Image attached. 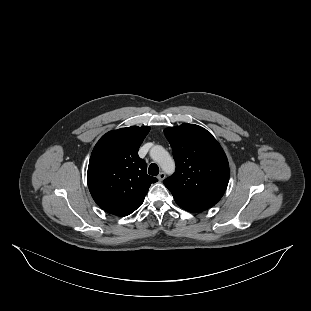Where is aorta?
Returning <instances> with one entry per match:
<instances>
[{
	"instance_id": "762f6f07",
	"label": "aorta",
	"mask_w": 311,
	"mask_h": 311,
	"mask_svg": "<svg viewBox=\"0 0 311 311\" xmlns=\"http://www.w3.org/2000/svg\"><path fill=\"white\" fill-rule=\"evenodd\" d=\"M151 158L156 161L164 171L172 172L175 169L174 160L162 146H155L150 151Z\"/></svg>"
}]
</instances>
